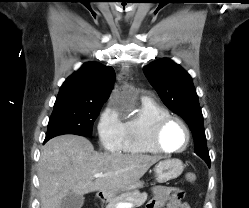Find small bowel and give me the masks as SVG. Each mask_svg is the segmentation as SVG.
I'll return each instance as SVG.
<instances>
[{
	"label": "small bowel",
	"mask_w": 249,
	"mask_h": 208,
	"mask_svg": "<svg viewBox=\"0 0 249 208\" xmlns=\"http://www.w3.org/2000/svg\"><path fill=\"white\" fill-rule=\"evenodd\" d=\"M184 192L181 189L166 186H156L153 188V197L146 208H190L182 201Z\"/></svg>",
	"instance_id": "c3829d8e"
}]
</instances>
